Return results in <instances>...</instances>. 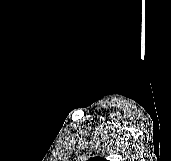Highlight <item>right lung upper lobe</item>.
<instances>
[{
  "mask_svg": "<svg viewBox=\"0 0 171 161\" xmlns=\"http://www.w3.org/2000/svg\"><path fill=\"white\" fill-rule=\"evenodd\" d=\"M88 161H107V160L100 157V156H97V157H94V158H90Z\"/></svg>",
  "mask_w": 171,
  "mask_h": 161,
  "instance_id": "right-lung-upper-lobe-1",
  "label": "right lung upper lobe"
}]
</instances>
